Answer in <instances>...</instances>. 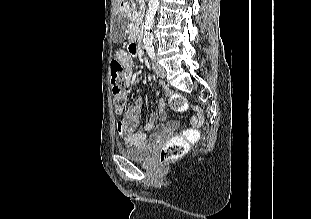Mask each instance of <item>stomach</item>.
Listing matches in <instances>:
<instances>
[{
    "label": "stomach",
    "mask_w": 311,
    "mask_h": 219,
    "mask_svg": "<svg viewBox=\"0 0 311 219\" xmlns=\"http://www.w3.org/2000/svg\"><path fill=\"white\" fill-rule=\"evenodd\" d=\"M118 16H123V17L125 18V20H127V18H126V16H125V15H121V14H119Z\"/></svg>",
    "instance_id": "0dacf381"
}]
</instances>
